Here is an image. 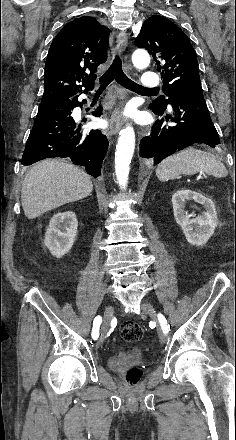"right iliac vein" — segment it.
Segmentation results:
<instances>
[{"mask_svg": "<svg viewBox=\"0 0 236 440\" xmlns=\"http://www.w3.org/2000/svg\"><path fill=\"white\" fill-rule=\"evenodd\" d=\"M113 307L111 305H108L105 308L104 311V317H103V323H102V327H101V337L100 340L103 341V339L105 338L108 330H109V326H110V322L113 316Z\"/></svg>", "mask_w": 236, "mask_h": 440, "instance_id": "1", "label": "right iliac vein"}]
</instances>
